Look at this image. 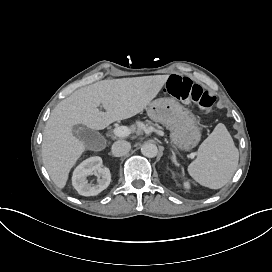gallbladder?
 <instances>
[{
    "label": "gallbladder",
    "mask_w": 272,
    "mask_h": 272,
    "mask_svg": "<svg viewBox=\"0 0 272 272\" xmlns=\"http://www.w3.org/2000/svg\"><path fill=\"white\" fill-rule=\"evenodd\" d=\"M75 135L85 143L86 147L92 149L94 144L104 138L96 131L87 127H75Z\"/></svg>",
    "instance_id": "gallbladder-1"
}]
</instances>
